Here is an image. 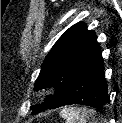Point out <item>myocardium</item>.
<instances>
[{"label":"myocardium","instance_id":"1","mask_svg":"<svg viewBox=\"0 0 122 123\" xmlns=\"http://www.w3.org/2000/svg\"><path fill=\"white\" fill-rule=\"evenodd\" d=\"M49 92H50V90H46V91H45V93H49Z\"/></svg>","mask_w":122,"mask_h":123}]
</instances>
